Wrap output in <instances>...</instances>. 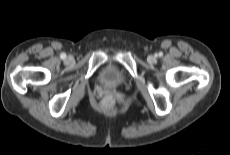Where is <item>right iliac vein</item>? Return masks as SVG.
I'll return each mask as SVG.
<instances>
[{"label": "right iliac vein", "instance_id": "right-iliac-vein-1", "mask_svg": "<svg viewBox=\"0 0 230 155\" xmlns=\"http://www.w3.org/2000/svg\"><path fill=\"white\" fill-rule=\"evenodd\" d=\"M67 61L70 62V61H71V57H68V58H67Z\"/></svg>", "mask_w": 230, "mask_h": 155}]
</instances>
